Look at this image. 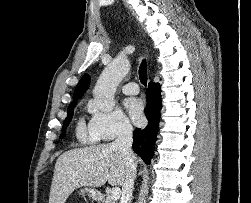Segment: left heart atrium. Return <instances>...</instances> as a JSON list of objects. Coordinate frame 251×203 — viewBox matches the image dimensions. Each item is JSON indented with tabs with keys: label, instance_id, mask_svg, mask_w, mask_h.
<instances>
[{
	"label": "left heart atrium",
	"instance_id": "obj_1",
	"mask_svg": "<svg viewBox=\"0 0 251 203\" xmlns=\"http://www.w3.org/2000/svg\"><path fill=\"white\" fill-rule=\"evenodd\" d=\"M127 109L136 124H140L144 120L143 116V103L139 99H131L126 103Z\"/></svg>",
	"mask_w": 251,
	"mask_h": 203
}]
</instances>
